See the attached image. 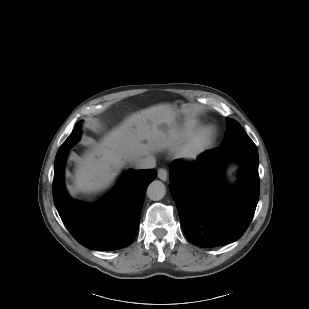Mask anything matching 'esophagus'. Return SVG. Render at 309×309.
I'll return each mask as SVG.
<instances>
[{
	"mask_svg": "<svg viewBox=\"0 0 309 309\" xmlns=\"http://www.w3.org/2000/svg\"><path fill=\"white\" fill-rule=\"evenodd\" d=\"M158 177L162 180V181H166L168 178V172L165 168H160L158 170Z\"/></svg>",
	"mask_w": 309,
	"mask_h": 309,
	"instance_id": "obj_1",
	"label": "esophagus"
}]
</instances>
